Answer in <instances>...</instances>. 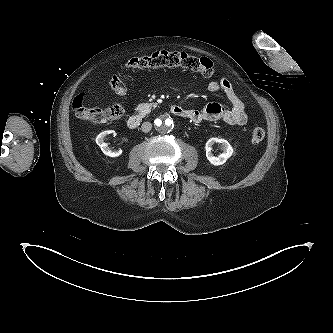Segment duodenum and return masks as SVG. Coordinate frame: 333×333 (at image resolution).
I'll return each mask as SVG.
<instances>
[{"label": "duodenum", "mask_w": 333, "mask_h": 333, "mask_svg": "<svg viewBox=\"0 0 333 333\" xmlns=\"http://www.w3.org/2000/svg\"><path fill=\"white\" fill-rule=\"evenodd\" d=\"M171 112L174 115L181 116V117H184L185 114H186V110L183 107L179 106V105L172 106L171 107ZM141 121H142V119H141L140 115H137V114L131 115L127 120V126L130 129H136L141 124Z\"/></svg>", "instance_id": "410a0bca"}]
</instances>
